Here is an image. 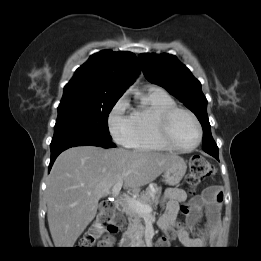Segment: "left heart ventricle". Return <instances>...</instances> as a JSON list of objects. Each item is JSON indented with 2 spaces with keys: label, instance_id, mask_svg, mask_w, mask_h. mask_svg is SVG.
<instances>
[{
  "label": "left heart ventricle",
  "instance_id": "1",
  "mask_svg": "<svg viewBox=\"0 0 261 261\" xmlns=\"http://www.w3.org/2000/svg\"><path fill=\"white\" fill-rule=\"evenodd\" d=\"M170 130L174 142L182 147L192 146L198 137L194 121L185 113H178L174 116Z\"/></svg>",
  "mask_w": 261,
  "mask_h": 261
}]
</instances>
